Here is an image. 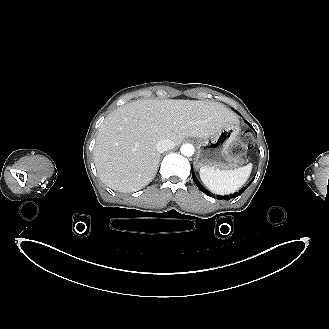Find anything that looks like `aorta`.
Wrapping results in <instances>:
<instances>
[{
    "label": "aorta",
    "instance_id": "aorta-1",
    "mask_svg": "<svg viewBox=\"0 0 329 329\" xmlns=\"http://www.w3.org/2000/svg\"><path fill=\"white\" fill-rule=\"evenodd\" d=\"M181 154L190 157L194 154V146L192 144H183L180 148Z\"/></svg>",
    "mask_w": 329,
    "mask_h": 329
}]
</instances>
